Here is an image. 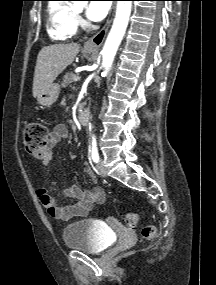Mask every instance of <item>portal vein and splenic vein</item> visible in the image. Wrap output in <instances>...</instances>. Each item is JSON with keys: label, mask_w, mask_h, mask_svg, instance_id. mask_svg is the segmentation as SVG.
Segmentation results:
<instances>
[{"label": "portal vein and splenic vein", "mask_w": 216, "mask_h": 285, "mask_svg": "<svg viewBox=\"0 0 216 285\" xmlns=\"http://www.w3.org/2000/svg\"><path fill=\"white\" fill-rule=\"evenodd\" d=\"M73 80H74L75 82H77V81L80 80V77H79V76H75Z\"/></svg>", "instance_id": "18ae733b"}]
</instances>
